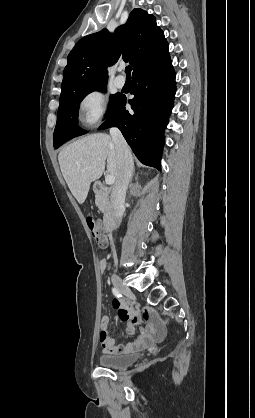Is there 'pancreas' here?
Masks as SVG:
<instances>
[{"label":"pancreas","mask_w":255,"mask_h":418,"mask_svg":"<svg viewBox=\"0 0 255 418\" xmlns=\"http://www.w3.org/2000/svg\"><path fill=\"white\" fill-rule=\"evenodd\" d=\"M95 203H96L98 209L101 212L106 213V211L108 209V200H107V198L105 196L97 195L96 196Z\"/></svg>","instance_id":"obj_1"}]
</instances>
